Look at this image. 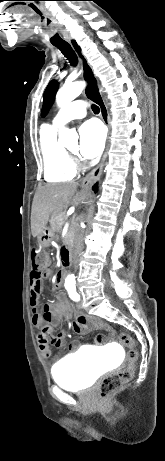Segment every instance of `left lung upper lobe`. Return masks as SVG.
<instances>
[{"label":"left lung upper lobe","instance_id":"1","mask_svg":"<svg viewBox=\"0 0 165 461\" xmlns=\"http://www.w3.org/2000/svg\"><path fill=\"white\" fill-rule=\"evenodd\" d=\"M58 83L54 80L50 81L48 84L44 95H43V108H42V116H45L54 100L56 91H57Z\"/></svg>","mask_w":165,"mask_h":461}]
</instances>
